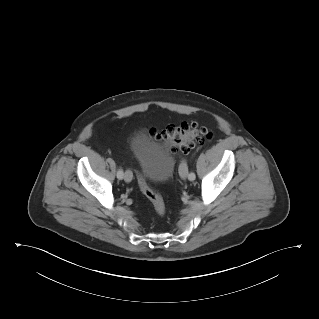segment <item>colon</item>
<instances>
[{
	"label": "colon",
	"mask_w": 319,
	"mask_h": 319,
	"mask_svg": "<svg viewBox=\"0 0 319 319\" xmlns=\"http://www.w3.org/2000/svg\"><path fill=\"white\" fill-rule=\"evenodd\" d=\"M155 140H163L170 144L172 150L179 155L188 154L197 144L211 137L210 130L195 122H183L178 126H170L163 132H151ZM138 182L143 194L149 199L157 215L164 216L166 206L162 196L149 185L142 174L138 173Z\"/></svg>",
	"instance_id": "1"
}]
</instances>
